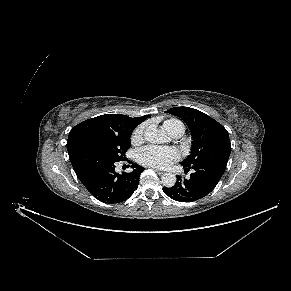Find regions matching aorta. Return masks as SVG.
Here are the masks:
<instances>
[{
	"instance_id": "aorta-1",
	"label": "aorta",
	"mask_w": 291,
	"mask_h": 291,
	"mask_svg": "<svg viewBox=\"0 0 291 291\" xmlns=\"http://www.w3.org/2000/svg\"><path fill=\"white\" fill-rule=\"evenodd\" d=\"M145 140L153 144L168 142L166 133L158 130L155 126H149L144 133ZM161 182L165 187H173L176 183V176L173 173H165L161 177Z\"/></svg>"
}]
</instances>
